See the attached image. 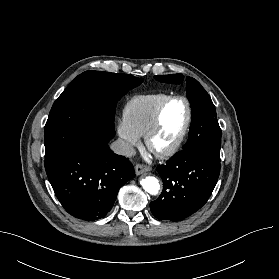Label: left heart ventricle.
I'll return each instance as SVG.
<instances>
[{
    "mask_svg": "<svg viewBox=\"0 0 279 279\" xmlns=\"http://www.w3.org/2000/svg\"><path fill=\"white\" fill-rule=\"evenodd\" d=\"M187 118L186 104L182 100H175L166 107L161 126L151 141L154 151H161L168 147L180 134Z\"/></svg>",
    "mask_w": 279,
    "mask_h": 279,
    "instance_id": "obj_1",
    "label": "left heart ventricle"
}]
</instances>
